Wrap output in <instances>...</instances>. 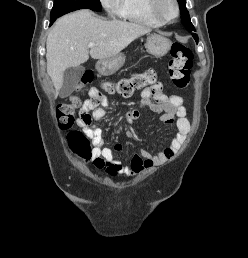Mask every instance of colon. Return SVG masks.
<instances>
[{"instance_id":"colon-1","label":"colon","mask_w":248,"mask_h":258,"mask_svg":"<svg viewBox=\"0 0 248 258\" xmlns=\"http://www.w3.org/2000/svg\"><path fill=\"white\" fill-rule=\"evenodd\" d=\"M193 53L191 49L181 43H174L171 47V58L169 60V76L172 83L178 88H185L190 81ZM93 76L90 72L82 76L80 87L91 83ZM147 87L159 88L157 74L153 69L143 73L134 74L129 78L122 79L116 83L106 82L103 90L106 93H118L123 97H130L135 92ZM80 101L71 97L67 103L57 106L56 120L60 128L70 129L74 123V113ZM71 150L81 159L89 160L92 157L91 138L81 130H71L67 136ZM107 171V170H106ZM114 175L113 171H107Z\"/></svg>"}]
</instances>
